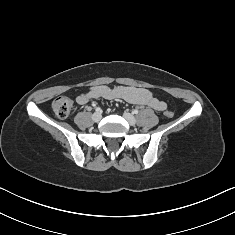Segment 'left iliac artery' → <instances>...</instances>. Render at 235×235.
<instances>
[{
    "label": "left iliac artery",
    "mask_w": 235,
    "mask_h": 235,
    "mask_svg": "<svg viewBox=\"0 0 235 235\" xmlns=\"http://www.w3.org/2000/svg\"><path fill=\"white\" fill-rule=\"evenodd\" d=\"M139 111L137 109L133 110V114H138Z\"/></svg>",
    "instance_id": "left-iliac-artery-1"
}]
</instances>
